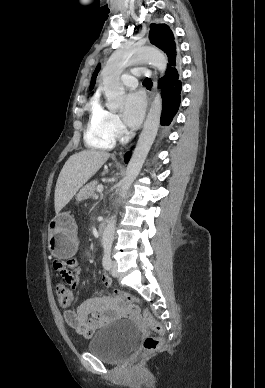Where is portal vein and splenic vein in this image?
Wrapping results in <instances>:
<instances>
[{"label":"portal vein and splenic vein","instance_id":"18ae733b","mask_svg":"<svg viewBox=\"0 0 265 388\" xmlns=\"http://www.w3.org/2000/svg\"><path fill=\"white\" fill-rule=\"evenodd\" d=\"M103 190V186L102 184H99V186H97V192H102Z\"/></svg>","mask_w":265,"mask_h":388}]
</instances>
